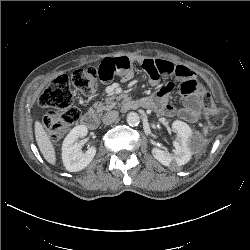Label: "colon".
<instances>
[{
	"label": "colon",
	"instance_id": "5ec220e1",
	"mask_svg": "<svg viewBox=\"0 0 250 250\" xmlns=\"http://www.w3.org/2000/svg\"><path fill=\"white\" fill-rule=\"evenodd\" d=\"M99 72L97 68L89 67L75 70L71 77L61 75L53 79L39 98V104L50 111L44 117V126L52 139L60 138L80 117V111L73 105L76 89L85 95L96 92ZM203 107L213 129L220 128L225 121L226 113L217 107L209 93L202 94Z\"/></svg>",
	"mask_w": 250,
	"mask_h": 250
}]
</instances>
